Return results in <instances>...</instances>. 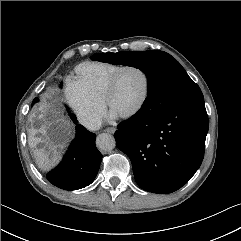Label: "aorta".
<instances>
[{"mask_svg": "<svg viewBox=\"0 0 241 241\" xmlns=\"http://www.w3.org/2000/svg\"><path fill=\"white\" fill-rule=\"evenodd\" d=\"M97 147L103 151H110L115 148L116 141L111 134L102 133L96 139Z\"/></svg>", "mask_w": 241, "mask_h": 241, "instance_id": "1", "label": "aorta"}]
</instances>
